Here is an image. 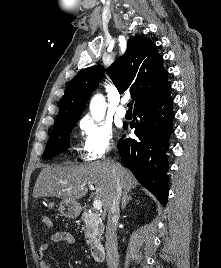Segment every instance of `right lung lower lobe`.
<instances>
[{"instance_id":"98d812e1","label":"right lung lower lobe","mask_w":221,"mask_h":268,"mask_svg":"<svg viewBox=\"0 0 221 268\" xmlns=\"http://www.w3.org/2000/svg\"><path fill=\"white\" fill-rule=\"evenodd\" d=\"M170 91L134 108L139 120L131 123L136 139L120 140L118 151L123 164L136 179L165 205L168 198L166 151L173 132L174 113ZM126 128V126H124Z\"/></svg>"}]
</instances>
